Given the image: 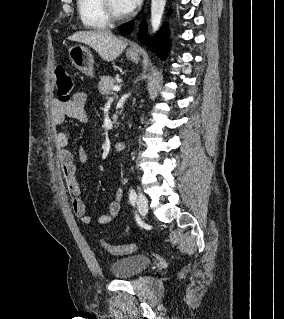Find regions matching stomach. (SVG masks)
<instances>
[{"instance_id": "obj_1", "label": "stomach", "mask_w": 284, "mask_h": 319, "mask_svg": "<svg viewBox=\"0 0 284 319\" xmlns=\"http://www.w3.org/2000/svg\"><path fill=\"white\" fill-rule=\"evenodd\" d=\"M128 60L137 63L140 57L136 53H127ZM69 58L72 64L83 74L93 77V56L91 51L82 45H74L69 49Z\"/></svg>"}]
</instances>
